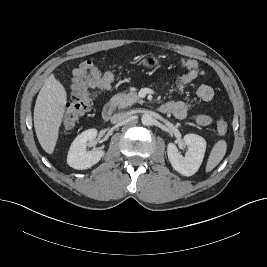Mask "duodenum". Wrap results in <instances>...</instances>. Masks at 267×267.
Masks as SVG:
<instances>
[{
	"mask_svg": "<svg viewBox=\"0 0 267 267\" xmlns=\"http://www.w3.org/2000/svg\"><path fill=\"white\" fill-rule=\"evenodd\" d=\"M115 108H116V106H115L114 102H108L107 104H105V106L103 107V110H102L103 119L109 120L112 117V115L114 114ZM159 109L163 113L168 111V108L165 104L161 105Z\"/></svg>",
	"mask_w": 267,
	"mask_h": 267,
	"instance_id": "obj_1",
	"label": "duodenum"
}]
</instances>
